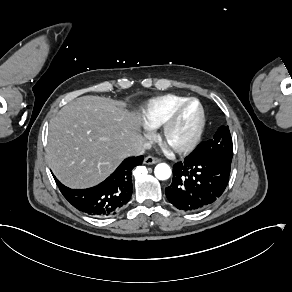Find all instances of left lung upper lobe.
<instances>
[{
    "mask_svg": "<svg viewBox=\"0 0 292 292\" xmlns=\"http://www.w3.org/2000/svg\"><path fill=\"white\" fill-rule=\"evenodd\" d=\"M196 154L201 157H233L232 137L228 126H221L212 139L197 146Z\"/></svg>",
    "mask_w": 292,
    "mask_h": 292,
    "instance_id": "1",
    "label": "left lung upper lobe"
}]
</instances>
